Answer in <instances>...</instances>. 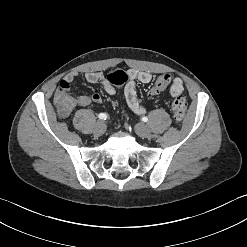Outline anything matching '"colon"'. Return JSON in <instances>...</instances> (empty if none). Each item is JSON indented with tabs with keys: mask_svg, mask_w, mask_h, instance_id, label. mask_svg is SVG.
<instances>
[{
	"mask_svg": "<svg viewBox=\"0 0 247 247\" xmlns=\"http://www.w3.org/2000/svg\"><path fill=\"white\" fill-rule=\"evenodd\" d=\"M106 78L110 83L116 86H126L129 80L128 74L118 68H114L108 71ZM170 82L169 75H162L158 77L150 93L156 95L163 91ZM74 102V97L70 93V90L66 86H59L55 95V104L61 113L69 111ZM174 118L178 124H180L186 114L187 103L182 94L176 96L171 105Z\"/></svg>",
	"mask_w": 247,
	"mask_h": 247,
	"instance_id": "obj_1",
	"label": "colon"
}]
</instances>
